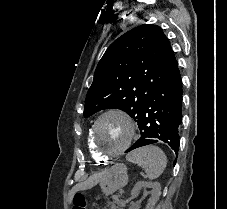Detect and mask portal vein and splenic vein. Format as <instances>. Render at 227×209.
Instances as JSON below:
<instances>
[{
    "mask_svg": "<svg viewBox=\"0 0 227 209\" xmlns=\"http://www.w3.org/2000/svg\"><path fill=\"white\" fill-rule=\"evenodd\" d=\"M120 193H121V194H124V193H125V190H124V189H121V190H120ZM112 197H113L114 200L116 201L120 196H119L118 194H114Z\"/></svg>",
    "mask_w": 227,
    "mask_h": 209,
    "instance_id": "18ae733b",
    "label": "portal vein and splenic vein"
}]
</instances>
